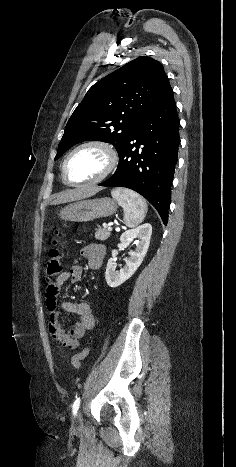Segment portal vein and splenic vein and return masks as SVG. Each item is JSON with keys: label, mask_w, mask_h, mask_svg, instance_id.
<instances>
[{"label": "portal vein and splenic vein", "mask_w": 236, "mask_h": 467, "mask_svg": "<svg viewBox=\"0 0 236 467\" xmlns=\"http://www.w3.org/2000/svg\"><path fill=\"white\" fill-rule=\"evenodd\" d=\"M107 229H108V231H112V227H111V226H108Z\"/></svg>", "instance_id": "18ae733b"}]
</instances>
